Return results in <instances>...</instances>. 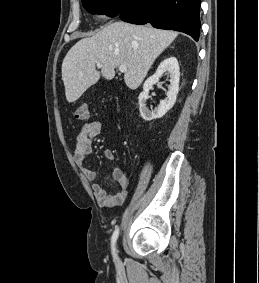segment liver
Instances as JSON below:
<instances>
[{
  "label": "liver",
  "mask_w": 259,
  "mask_h": 283,
  "mask_svg": "<svg viewBox=\"0 0 259 283\" xmlns=\"http://www.w3.org/2000/svg\"><path fill=\"white\" fill-rule=\"evenodd\" d=\"M177 32L160 30L150 25L113 22L92 37L78 41L62 63V80L69 103L76 101L100 76L111 80L115 68L126 65L124 81L137 89L156 58L174 41ZM97 62L102 64L97 71Z\"/></svg>",
  "instance_id": "obj_1"
}]
</instances>
